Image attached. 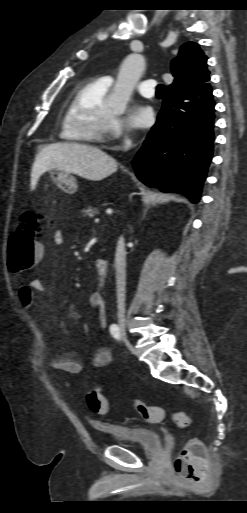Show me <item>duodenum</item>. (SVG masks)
I'll return each mask as SVG.
<instances>
[{
    "label": "duodenum",
    "mask_w": 247,
    "mask_h": 513,
    "mask_svg": "<svg viewBox=\"0 0 247 513\" xmlns=\"http://www.w3.org/2000/svg\"><path fill=\"white\" fill-rule=\"evenodd\" d=\"M96 278L99 281H105L107 278L108 265L107 261L103 258H98L94 263Z\"/></svg>",
    "instance_id": "1"
}]
</instances>
